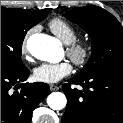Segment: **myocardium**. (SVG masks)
Wrapping results in <instances>:
<instances>
[{
  "instance_id": "myocardium-1",
  "label": "myocardium",
  "mask_w": 123,
  "mask_h": 123,
  "mask_svg": "<svg viewBox=\"0 0 123 123\" xmlns=\"http://www.w3.org/2000/svg\"><path fill=\"white\" fill-rule=\"evenodd\" d=\"M66 53L77 67H83L92 56V46L86 41L75 40L67 44Z\"/></svg>"
}]
</instances>
